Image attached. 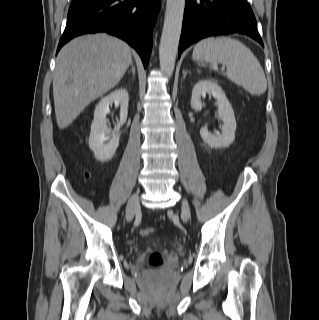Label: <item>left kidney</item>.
<instances>
[{"label":"left kidney","mask_w":319,"mask_h":320,"mask_svg":"<svg viewBox=\"0 0 319 320\" xmlns=\"http://www.w3.org/2000/svg\"><path fill=\"white\" fill-rule=\"evenodd\" d=\"M206 94L212 95L218 105L219 117L223 121L222 134L216 132L211 134L206 127L200 129L202 139L213 148L228 147L235 139L236 120L234 111L222 88L211 80H200L192 90L191 107L200 111L202 109L201 97Z\"/></svg>","instance_id":"obj_1"}]
</instances>
